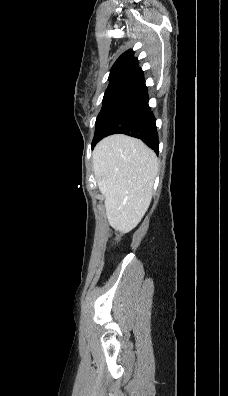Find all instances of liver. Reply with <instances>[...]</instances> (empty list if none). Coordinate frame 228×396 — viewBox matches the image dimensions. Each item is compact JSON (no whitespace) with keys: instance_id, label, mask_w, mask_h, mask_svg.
I'll list each match as a JSON object with an SVG mask.
<instances>
[{"instance_id":"1","label":"liver","mask_w":228,"mask_h":396,"mask_svg":"<svg viewBox=\"0 0 228 396\" xmlns=\"http://www.w3.org/2000/svg\"><path fill=\"white\" fill-rule=\"evenodd\" d=\"M93 171L105 196L109 223L116 230L129 232L150 205L158 172L156 154L139 139L112 135L95 147Z\"/></svg>"}]
</instances>
